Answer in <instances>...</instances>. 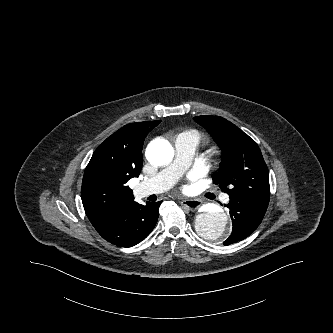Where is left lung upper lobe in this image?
<instances>
[{"instance_id":"5c2ea615","label":"left lung upper lobe","mask_w":333,"mask_h":333,"mask_svg":"<svg viewBox=\"0 0 333 333\" xmlns=\"http://www.w3.org/2000/svg\"><path fill=\"white\" fill-rule=\"evenodd\" d=\"M194 120L207 129L223 151L221 170L213 174V182L230 200L267 208L269 171L256 142L222 117L198 116Z\"/></svg>"}]
</instances>
